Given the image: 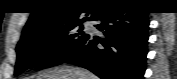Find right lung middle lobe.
Instances as JSON below:
<instances>
[{
  "mask_svg": "<svg viewBox=\"0 0 177 79\" xmlns=\"http://www.w3.org/2000/svg\"><path fill=\"white\" fill-rule=\"evenodd\" d=\"M82 21L39 29L19 41L15 76L29 68H48L59 65L88 36L80 25ZM80 25L78 33L73 29Z\"/></svg>",
  "mask_w": 177,
  "mask_h": 79,
  "instance_id": "dd1d6c3e",
  "label": "right lung middle lobe"
}]
</instances>
